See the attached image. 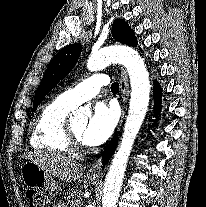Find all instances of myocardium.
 <instances>
[{"instance_id":"obj_1","label":"myocardium","mask_w":206,"mask_h":207,"mask_svg":"<svg viewBox=\"0 0 206 207\" xmlns=\"http://www.w3.org/2000/svg\"><path fill=\"white\" fill-rule=\"evenodd\" d=\"M64 134L70 149H78L83 146V141L73 131L72 125L69 122L66 123Z\"/></svg>"}]
</instances>
